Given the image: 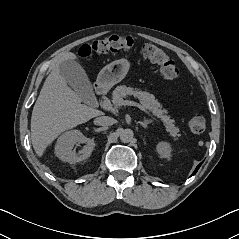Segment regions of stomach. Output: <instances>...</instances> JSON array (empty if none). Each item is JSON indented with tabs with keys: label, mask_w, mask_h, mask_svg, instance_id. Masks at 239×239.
<instances>
[{
	"label": "stomach",
	"mask_w": 239,
	"mask_h": 239,
	"mask_svg": "<svg viewBox=\"0 0 239 239\" xmlns=\"http://www.w3.org/2000/svg\"><path fill=\"white\" fill-rule=\"evenodd\" d=\"M130 68L127 59H119L106 65L98 74L97 83L104 89H110L126 76Z\"/></svg>",
	"instance_id": "1"
}]
</instances>
